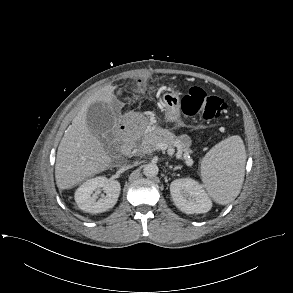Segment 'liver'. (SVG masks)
Here are the masks:
<instances>
[{"label":"liver","mask_w":293,"mask_h":293,"mask_svg":"<svg viewBox=\"0 0 293 293\" xmlns=\"http://www.w3.org/2000/svg\"><path fill=\"white\" fill-rule=\"evenodd\" d=\"M116 86L95 92L72 120L58 147L55 180L59 190L71 189L87 177L106 170L111 158L87 125V110L92 103L111 104Z\"/></svg>","instance_id":"obj_1"}]
</instances>
